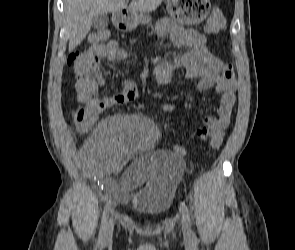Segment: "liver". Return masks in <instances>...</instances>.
Masks as SVG:
<instances>
[{"label": "liver", "mask_w": 295, "mask_h": 250, "mask_svg": "<svg viewBox=\"0 0 295 250\" xmlns=\"http://www.w3.org/2000/svg\"><path fill=\"white\" fill-rule=\"evenodd\" d=\"M128 0H64V14L69 33V51L77 47L89 33L92 19L98 14L121 12ZM164 0H132L130 12H151Z\"/></svg>", "instance_id": "obj_1"}]
</instances>
